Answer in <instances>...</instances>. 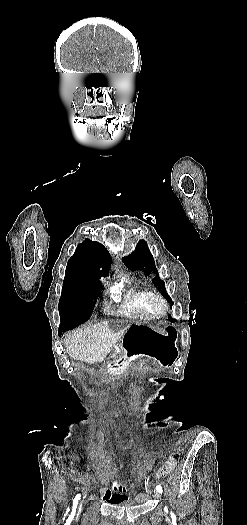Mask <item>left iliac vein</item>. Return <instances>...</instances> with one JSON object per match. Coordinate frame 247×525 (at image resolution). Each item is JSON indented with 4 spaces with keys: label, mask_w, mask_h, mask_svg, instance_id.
<instances>
[{
    "label": "left iliac vein",
    "mask_w": 247,
    "mask_h": 525,
    "mask_svg": "<svg viewBox=\"0 0 247 525\" xmlns=\"http://www.w3.org/2000/svg\"><path fill=\"white\" fill-rule=\"evenodd\" d=\"M155 497H156V498H160V493L156 491V492H155Z\"/></svg>",
    "instance_id": "obj_1"
}]
</instances>
